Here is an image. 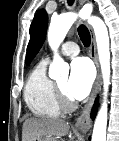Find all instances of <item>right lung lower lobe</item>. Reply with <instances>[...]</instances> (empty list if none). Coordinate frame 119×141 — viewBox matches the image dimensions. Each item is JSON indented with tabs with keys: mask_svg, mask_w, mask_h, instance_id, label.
<instances>
[{
	"mask_svg": "<svg viewBox=\"0 0 119 141\" xmlns=\"http://www.w3.org/2000/svg\"><path fill=\"white\" fill-rule=\"evenodd\" d=\"M97 104H98V100L95 101L94 107H93L92 112H91V118H92V119H94L95 116H96Z\"/></svg>",
	"mask_w": 119,
	"mask_h": 141,
	"instance_id": "obj_1",
	"label": "right lung lower lobe"
}]
</instances>
